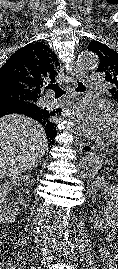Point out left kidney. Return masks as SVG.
I'll return each instance as SVG.
<instances>
[{
  "label": "left kidney",
  "mask_w": 118,
  "mask_h": 269,
  "mask_svg": "<svg viewBox=\"0 0 118 269\" xmlns=\"http://www.w3.org/2000/svg\"><path fill=\"white\" fill-rule=\"evenodd\" d=\"M102 190L107 196V209L103 217L91 218L94 228L100 231L109 229L118 217V187L109 184L103 177H97L91 184L89 195L95 198L96 192Z\"/></svg>",
  "instance_id": "1"
}]
</instances>
